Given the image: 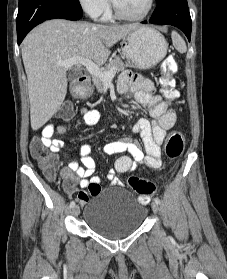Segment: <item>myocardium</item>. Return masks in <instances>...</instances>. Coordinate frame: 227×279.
<instances>
[{
  "label": "myocardium",
  "mask_w": 227,
  "mask_h": 279,
  "mask_svg": "<svg viewBox=\"0 0 227 279\" xmlns=\"http://www.w3.org/2000/svg\"><path fill=\"white\" fill-rule=\"evenodd\" d=\"M111 1V8L113 11V14L119 18V19H124V20H129V21H139V20H143L145 19L153 10L154 7V0H148V5L146 10L139 14V15H128L126 13H124L115 3L114 0H110Z\"/></svg>",
  "instance_id": "f54148a6"
}]
</instances>
